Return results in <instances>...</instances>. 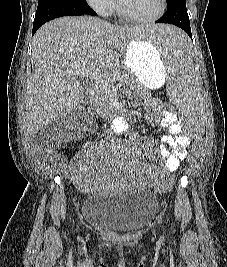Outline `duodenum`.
Listing matches in <instances>:
<instances>
[{"label":"duodenum","mask_w":227,"mask_h":267,"mask_svg":"<svg viewBox=\"0 0 227 267\" xmlns=\"http://www.w3.org/2000/svg\"><path fill=\"white\" fill-rule=\"evenodd\" d=\"M96 94V88L93 86V85H90L88 88H87V95L89 97H94Z\"/></svg>","instance_id":"1"}]
</instances>
